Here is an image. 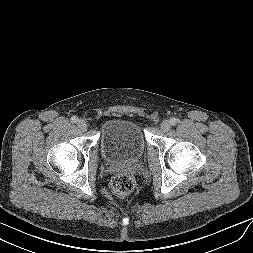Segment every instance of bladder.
Returning a JSON list of instances; mask_svg holds the SVG:
<instances>
[{"label":"bladder","mask_w":253,"mask_h":253,"mask_svg":"<svg viewBox=\"0 0 253 253\" xmlns=\"http://www.w3.org/2000/svg\"><path fill=\"white\" fill-rule=\"evenodd\" d=\"M146 146L141 125L129 119H111L100 133L102 157L111 163H133L140 159Z\"/></svg>","instance_id":"bladder-1"}]
</instances>
